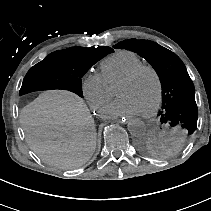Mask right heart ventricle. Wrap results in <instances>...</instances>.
Instances as JSON below:
<instances>
[{
  "mask_svg": "<svg viewBox=\"0 0 211 211\" xmlns=\"http://www.w3.org/2000/svg\"><path fill=\"white\" fill-rule=\"evenodd\" d=\"M141 64L142 58L134 52L118 51L100 63L101 75L111 84Z\"/></svg>",
  "mask_w": 211,
  "mask_h": 211,
  "instance_id": "1",
  "label": "right heart ventricle"
}]
</instances>
